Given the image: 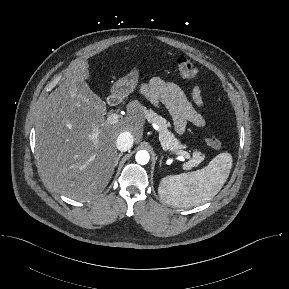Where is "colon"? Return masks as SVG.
<instances>
[{"instance_id": "obj_1", "label": "colon", "mask_w": 289, "mask_h": 289, "mask_svg": "<svg viewBox=\"0 0 289 289\" xmlns=\"http://www.w3.org/2000/svg\"><path fill=\"white\" fill-rule=\"evenodd\" d=\"M177 70L179 75L186 80H193L197 76L196 66L186 57H179L177 59ZM205 141L209 147L218 151L222 148V140L207 133L205 136Z\"/></svg>"}]
</instances>
